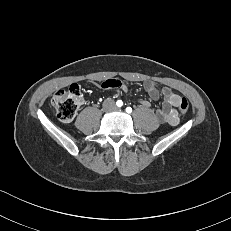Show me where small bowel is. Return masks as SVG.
<instances>
[{
	"label": "small bowel",
	"instance_id": "c3829d8e",
	"mask_svg": "<svg viewBox=\"0 0 231 231\" xmlns=\"http://www.w3.org/2000/svg\"><path fill=\"white\" fill-rule=\"evenodd\" d=\"M102 86L107 89H120L123 91L127 90L126 85L116 79H108L103 82ZM143 87L149 97L153 100L163 99L162 108L156 110L155 114L158 120L162 123L176 126L180 122L178 107L181 100V96L174 93L169 87H163L161 90L158 89L155 82L147 80L144 82ZM139 104L145 108H151V103L146 100H139Z\"/></svg>",
	"mask_w": 231,
	"mask_h": 231
}]
</instances>
